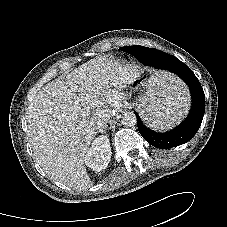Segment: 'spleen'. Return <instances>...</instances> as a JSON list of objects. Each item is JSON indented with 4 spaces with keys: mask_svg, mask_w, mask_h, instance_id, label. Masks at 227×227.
I'll list each match as a JSON object with an SVG mask.
<instances>
[{
    "mask_svg": "<svg viewBox=\"0 0 227 227\" xmlns=\"http://www.w3.org/2000/svg\"><path fill=\"white\" fill-rule=\"evenodd\" d=\"M187 95L180 80L158 71L150 79L147 96L139 106L140 113L149 126L169 129L186 114Z\"/></svg>",
    "mask_w": 227,
    "mask_h": 227,
    "instance_id": "3e777b00",
    "label": "spleen"
}]
</instances>
